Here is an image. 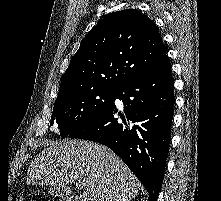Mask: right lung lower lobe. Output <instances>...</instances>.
Segmentation results:
<instances>
[{"label":"right lung lower lobe","instance_id":"obj_1","mask_svg":"<svg viewBox=\"0 0 221 201\" xmlns=\"http://www.w3.org/2000/svg\"><path fill=\"white\" fill-rule=\"evenodd\" d=\"M173 85L167 59L150 73L118 86L103 112L68 135L113 150L146 187L150 201H156L160 192L169 152ZM115 99L122 101V113Z\"/></svg>","mask_w":221,"mask_h":201}]
</instances>
